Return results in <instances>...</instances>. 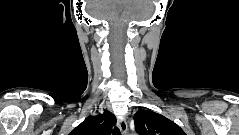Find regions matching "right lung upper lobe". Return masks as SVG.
I'll use <instances>...</instances> for the list:
<instances>
[{
    "instance_id": "right-lung-upper-lobe-1",
    "label": "right lung upper lobe",
    "mask_w": 239,
    "mask_h": 135,
    "mask_svg": "<svg viewBox=\"0 0 239 135\" xmlns=\"http://www.w3.org/2000/svg\"><path fill=\"white\" fill-rule=\"evenodd\" d=\"M115 123V116L105 110L103 114L98 116L87 117L69 135H111V130Z\"/></svg>"
}]
</instances>
